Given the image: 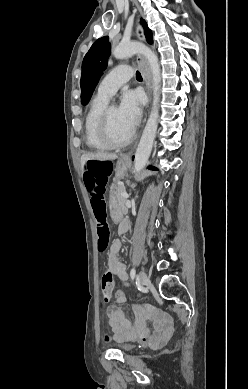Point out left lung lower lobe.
Masks as SVG:
<instances>
[{
    "instance_id": "1",
    "label": "left lung lower lobe",
    "mask_w": 248,
    "mask_h": 389,
    "mask_svg": "<svg viewBox=\"0 0 248 389\" xmlns=\"http://www.w3.org/2000/svg\"><path fill=\"white\" fill-rule=\"evenodd\" d=\"M134 158V157H133ZM149 169H151V170H158L156 167H152V166H150V167H148Z\"/></svg>"
}]
</instances>
